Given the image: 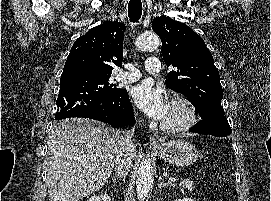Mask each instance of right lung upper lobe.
<instances>
[{"label":"right lung upper lobe","instance_id":"cb5924a9","mask_svg":"<svg viewBox=\"0 0 271 201\" xmlns=\"http://www.w3.org/2000/svg\"><path fill=\"white\" fill-rule=\"evenodd\" d=\"M125 25L107 21L92 28L73 44L63 71L82 69L110 74L113 66L122 67Z\"/></svg>","mask_w":271,"mask_h":201}]
</instances>
